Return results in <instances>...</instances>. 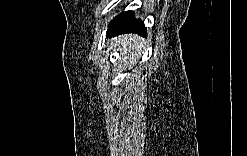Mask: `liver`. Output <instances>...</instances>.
Returning a JSON list of instances; mask_svg holds the SVG:
<instances>
[{
  "label": "liver",
  "instance_id": "1",
  "mask_svg": "<svg viewBox=\"0 0 247 156\" xmlns=\"http://www.w3.org/2000/svg\"><path fill=\"white\" fill-rule=\"evenodd\" d=\"M114 42L116 43L114 45ZM147 44V41L139 37L138 35H121L118 38L111 41L110 47L120 50V60L124 63L133 64V59L136 60L139 57L140 47H144ZM128 54L130 56H128Z\"/></svg>",
  "mask_w": 247,
  "mask_h": 156
}]
</instances>
